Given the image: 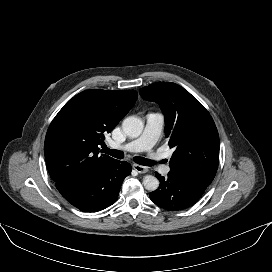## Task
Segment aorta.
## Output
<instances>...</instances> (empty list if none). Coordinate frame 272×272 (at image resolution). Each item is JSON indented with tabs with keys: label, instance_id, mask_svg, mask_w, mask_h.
<instances>
[{
	"label": "aorta",
	"instance_id": "obj_1",
	"mask_svg": "<svg viewBox=\"0 0 272 272\" xmlns=\"http://www.w3.org/2000/svg\"><path fill=\"white\" fill-rule=\"evenodd\" d=\"M122 128L128 136L137 137L142 133L144 124L140 118L130 116L124 119ZM143 185L146 190L155 191L159 187V180L152 175H147L143 178Z\"/></svg>",
	"mask_w": 272,
	"mask_h": 272
}]
</instances>
